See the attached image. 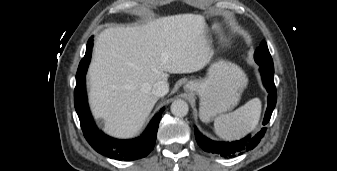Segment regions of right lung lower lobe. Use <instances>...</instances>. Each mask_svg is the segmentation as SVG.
<instances>
[{
    "label": "right lung lower lobe",
    "instance_id": "right-lung-lower-lobe-1",
    "mask_svg": "<svg viewBox=\"0 0 337 171\" xmlns=\"http://www.w3.org/2000/svg\"><path fill=\"white\" fill-rule=\"evenodd\" d=\"M93 36L88 40L86 53L79 64L74 91L75 109L88 143L102 155L116 160L132 161L147 156L156 141L157 130L164 108L151 120L141 137L133 140H117L97 129L91 117L85 91V74L90 62Z\"/></svg>",
    "mask_w": 337,
    "mask_h": 171
}]
</instances>
